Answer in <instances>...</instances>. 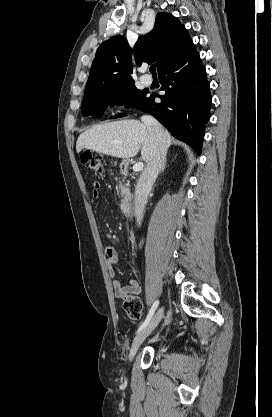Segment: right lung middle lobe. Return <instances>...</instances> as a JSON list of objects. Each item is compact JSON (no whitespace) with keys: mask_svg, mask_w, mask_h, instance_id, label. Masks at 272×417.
I'll return each mask as SVG.
<instances>
[{"mask_svg":"<svg viewBox=\"0 0 272 417\" xmlns=\"http://www.w3.org/2000/svg\"><path fill=\"white\" fill-rule=\"evenodd\" d=\"M147 93V90H138L135 85H130L120 89L85 94L81 111L85 116L100 117L105 109L114 103L139 109L145 103Z\"/></svg>","mask_w":272,"mask_h":417,"instance_id":"obj_1","label":"right lung middle lobe"}]
</instances>
